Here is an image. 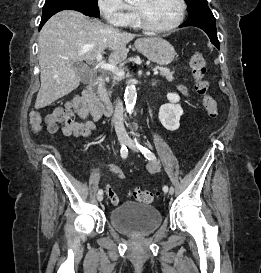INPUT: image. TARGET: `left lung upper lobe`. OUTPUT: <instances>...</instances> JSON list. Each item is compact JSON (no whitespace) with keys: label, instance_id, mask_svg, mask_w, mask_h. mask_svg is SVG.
<instances>
[{"label":"left lung upper lobe","instance_id":"left-lung-upper-lobe-1","mask_svg":"<svg viewBox=\"0 0 261 273\" xmlns=\"http://www.w3.org/2000/svg\"><path fill=\"white\" fill-rule=\"evenodd\" d=\"M185 2L187 4L189 14L198 8L208 6L207 0H185Z\"/></svg>","mask_w":261,"mask_h":273}]
</instances>
